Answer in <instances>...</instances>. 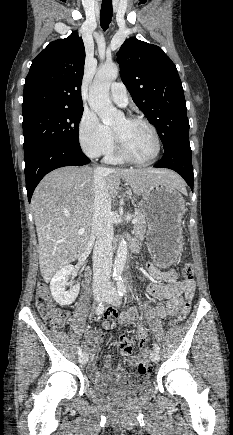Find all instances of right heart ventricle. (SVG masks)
<instances>
[{
    "label": "right heart ventricle",
    "instance_id": "obj_1",
    "mask_svg": "<svg viewBox=\"0 0 233 435\" xmlns=\"http://www.w3.org/2000/svg\"><path fill=\"white\" fill-rule=\"evenodd\" d=\"M105 161L109 164H121L123 159L120 157L116 147L113 145L110 151L106 154Z\"/></svg>",
    "mask_w": 233,
    "mask_h": 435
}]
</instances>
